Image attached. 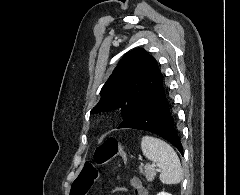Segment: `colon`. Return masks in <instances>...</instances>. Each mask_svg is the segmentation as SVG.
Segmentation results:
<instances>
[{"instance_id": "5ec220e1", "label": "colon", "mask_w": 240, "mask_h": 195, "mask_svg": "<svg viewBox=\"0 0 240 195\" xmlns=\"http://www.w3.org/2000/svg\"><path fill=\"white\" fill-rule=\"evenodd\" d=\"M119 156L121 160L127 159L125 150H121L120 143L113 137L107 138L102 145L97 147L95 151V160L97 163H106L113 159L115 156ZM86 175L95 177L96 173L90 168H86ZM75 191L72 195H81L84 191V186H75Z\"/></svg>"}]
</instances>
